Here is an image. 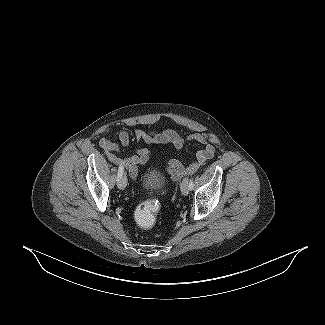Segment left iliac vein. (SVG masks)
<instances>
[{
    "label": "left iliac vein",
    "instance_id": "left-iliac-vein-1",
    "mask_svg": "<svg viewBox=\"0 0 325 325\" xmlns=\"http://www.w3.org/2000/svg\"><path fill=\"white\" fill-rule=\"evenodd\" d=\"M180 189L183 195H188L190 189H189V180L187 178L183 179Z\"/></svg>",
    "mask_w": 325,
    "mask_h": 325
}]
</instances>
